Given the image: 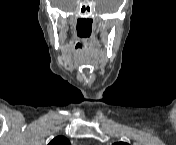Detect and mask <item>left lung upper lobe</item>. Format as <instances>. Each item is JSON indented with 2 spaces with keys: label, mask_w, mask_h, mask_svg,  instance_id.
Wrapping results in <instances>:
<instances>
[{
  "label": "left lung upper lobe",
  "mask_w": 176,
  "mask_h": 145,
  "mask_svg": "<svg viewBox=\"0 0 176 145\" xmlns=\"http://www.w3.org/2000/svg\"><path fill=\"white\" fill-rule=\"evenodd\" d=\"M114 145H128V144L124 142H118V143H115Z\"/></svg>",
  "instance_id": "obj_1"
}]
</instances>
